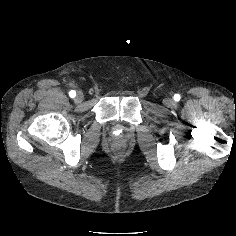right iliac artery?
Here are the masks:
<instances>
[{
  "label": "right iliac artery",
  "instance_id": "right-iliac-artery-1",
  "mask_svg": "<svg viewBox=\"0 0 236 236\" xmlns=\"http://www.w3.org/2000/svg\"><path fill=\"white\" fill-rule=\"evenodd\" d=\"M69 96H70L71 98H74V97L76 96V92H75L74 90H71V91L69 92Z\"/></svg>",
  "mask_w": 236,
  "mask_h": 236
}]
</instances>
